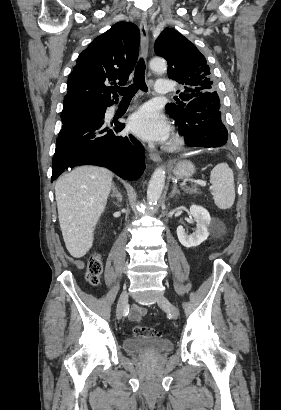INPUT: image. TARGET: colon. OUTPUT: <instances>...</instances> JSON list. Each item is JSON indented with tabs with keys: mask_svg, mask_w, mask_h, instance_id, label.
Listing matches in <instances>:
<instances>
[{
	"mask_svg": "<svg viewBox=\"0 0 281 410\" xmlns=\"http://www.w3.org/2000/svg\"><path fill=\"white\" fill-rule=\"evenodd\" d=\"M103 265L100 254H95L90 257L87 266L86 279L92 286H96L100 281ZM133 335L138 338H157L160 332L146 326H135L133 328Z\"/></svg>",
	"mask_w": 281,
	"mask_h": 410,
	"instance_id": "colon-1",
	"label": "colon"
}]
</instances>
